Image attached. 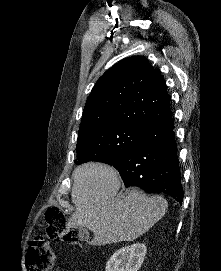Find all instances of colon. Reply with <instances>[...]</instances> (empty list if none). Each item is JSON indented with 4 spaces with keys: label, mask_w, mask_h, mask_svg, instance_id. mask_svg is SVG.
<instances>
[{
    "label": "colon",
    "mask_w": 221,
    "mask_h": 271,
    "mask_svg": "<svg viewBox=\"0 0 221 271\" xmlns=\"http://www.w3.org/2000/svg\"><path fill=\"white\" fill-rule=\"evenodd\" d=\"M47 224V236L55 242H76L80 233L66 225L64 211L58 206H51L44 211ZM56 255L49 241L43 235L34 236L25 253L26 271H50L54 266Z\"/></svg>",
    "instance_id": "5ec220e1"
}]
</instances>
